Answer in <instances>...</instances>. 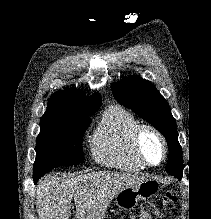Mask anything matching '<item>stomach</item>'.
<instances>
[{"label":"stomach","mask_w":211,"mask_h":219,"mask_svg":"<svg viewBox=\"0 0 211 219\" xmlns=\"http://www.w3.org/2000/svg\"><path fill=\"white\" fill-rule=\"evenodd\" d=\"M159 182L146 179L144 182L125 188L115 196V205L123 210L133 209L138 205L140 200L152 197L159 192Z\"/></svg>","instance_id":"obj_1"}]
</instances>
